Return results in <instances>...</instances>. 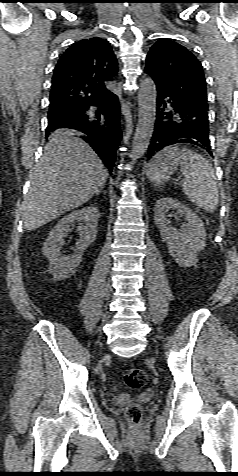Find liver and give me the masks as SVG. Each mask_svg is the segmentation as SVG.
<instances>
[{"instance_id":"1","label":"liver","mask_w":238,"mask_h":476,"mask_svg":"<svg viewBox=\"0 0 238 476\" xmlns=\"http://www.w3.org/2000/svg\"><path fill=\"white\" fill-rule=\"evenodd\" d=\"M107 177L108 170L85 141L71 131L55 132L29 174L25 228L34 230L81 206L100 192Z\"/></svg>"}]
</instances>
